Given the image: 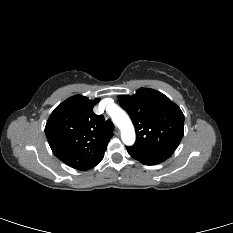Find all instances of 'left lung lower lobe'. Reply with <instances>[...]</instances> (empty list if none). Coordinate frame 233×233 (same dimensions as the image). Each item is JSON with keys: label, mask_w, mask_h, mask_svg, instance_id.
I'll use <instances>...</instances> for the list:
<instances>
[{"label": "left lung lower lobe", "mask_w": 233, "mask_h": 233, "mask_svg": "<svg viewBox=\"0 0 233 233\" xmlns=\"http://www.w3.org/2000/svg\"><path fill=\"white\" fill-rule=\"evenodd\" d=\"M126 149L131 157L145 165L159 164L173 154V152L170 151H157L134 146L126 147Z\"/></svg>", "instance_id": "obj_1"}]
</instances>
